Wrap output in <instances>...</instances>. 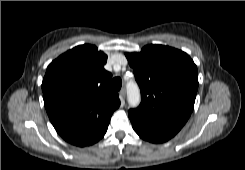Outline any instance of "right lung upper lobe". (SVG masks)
I'll list each match as a JSON object with an SVG mask.
<instances>
[{"mask_svg":"<svg viewBox=\"0 0 245 170\" xmlns=\"http://www.w3.org/2000/svg\"><path fill=\"white\" fill-rule=\"evenodd\" d=\"M106 62V54L85 44L59 56L46 70L42 91L47 114L58 134L73 145L99 141L120 105Z\"/></svg>","mask_w":245,"mask_h":170,"instance_id":"obj_1","label":"right lung upper lobe"}]
</instances>
